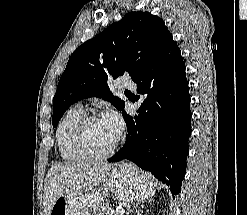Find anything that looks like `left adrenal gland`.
Returning a JSON list of instances; mask_svg holds the SVG:
<instances>
[{"mask_svg":"<svg viewBox=\"0 0 247 215\" xmlns=\"http://www.w3.org/2000/svg\"><path fill=\"white\" fill-rule=\"evenodd\" d=\"M149 202H150V200H149ZM136 206H138V204H136ZM136 206H134V207L130 210V212H132V210H133L134 208H136Z\"/></svg>","mask_w":247,"mask_h":215,"instance_id":"left-adrenal-gland-1","label":"left adrenal gland"}]
</instances>
